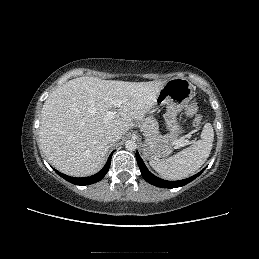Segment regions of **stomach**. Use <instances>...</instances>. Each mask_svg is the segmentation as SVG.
<instances>
[{"label":"stomach","instance_id":"0dacf381","mask_svg":"<svg viewBox=\"0 0 259 259\" xmlns=\"http://www.w3.org/2000/svg\"><path fill=\"white\" fill-rule=\"evenodd\" d=\"M193 94V85L186 78H173L163 85L155 105L166 107L164 120L171 138L157 141L145 137L143 153L147 159L159 160L172 152L171 141L184 132L177 115L187 106Z\"/></svg>","mask_w":259,"mask_h":259}]
</instances>
